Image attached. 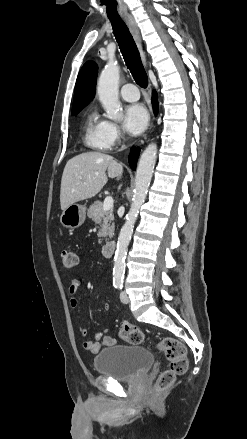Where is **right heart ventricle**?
I'll list each match as a JSON object with an SVG mask.
<instances>
[{
    "instance_id": "e07e8e85",
    "label": "right heart ventricle",
    "mask_w": 247,
    "mask_h": 439,
    "mask_svg": "<svg viewBox=\"0 0 247 439\" xmlns=\"http://www.w3.org/2000/svg\"><path fill=\"white\" fill-rule=\"evenodd\" d=\"M82 140L86 147L96 151H106L112 146L106 134V121L94 110L85 117Z\"/></svg>"
}]
</instances>
